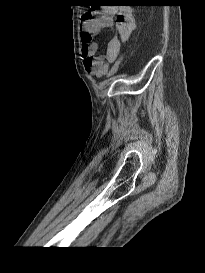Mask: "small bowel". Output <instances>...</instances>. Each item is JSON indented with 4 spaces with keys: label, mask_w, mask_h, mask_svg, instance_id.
Segmentation results:
<instances>
[{
    "label": "small bowel",
    "mask_w": 205,
    "mask_h": 273,
    "mask_svg": "<svg viewBox=\"0 0 205 273\" xmlns=\"http://www.w3.org/2000/svg\"><path fill=\"white\" fill-rule=\"evenodd\" d=\"M113 26L117 34L107 42L104 54L96 56L95 35L103 28ZM135 27V20L127 9L105 6L97 12L86 13L81 19L80 37L83 64L87 73L96 77L105 76L109 71V64L116 61L122 44L129 40Z\"/></svg>",
    "instance_id": "1"
}]
</instances>
